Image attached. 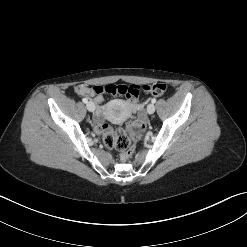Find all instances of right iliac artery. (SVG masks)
<instances>
[{"instance_id": "right-iliac-artery-1", "label": "right iliac artery", "mask_w": 247, "mask_h": 247, "mask_svg": "<svg viewBox=\"0 0 247 247\" xmlns=\"http://www.w3.org/2000/svg\"><path fill=\"white\" fill-rule=\"evenodd\" d=\"M82 101H83L84 103H87V102H88V100H87L86 98H83Z\"/></svg>"}]
</instances>
